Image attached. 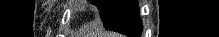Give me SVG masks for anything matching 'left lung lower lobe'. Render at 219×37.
<instances>
[{
  "label": "left lung lower lobe",
  "instance_id": "obj_1",
  "mask_svg": "<svg viewBox=\"0 0 219 37\" xmlns=\"http://www.w3.org/2000/svg\"><path fill=\"white\" fill-rule=\"evenodd\" d=\"M142 28L137 0H124L105 29L125 34L128 37H140Z\"/></svg>",
  "mask_w": 219,
  "mask_h": 37
}]
</instances>
